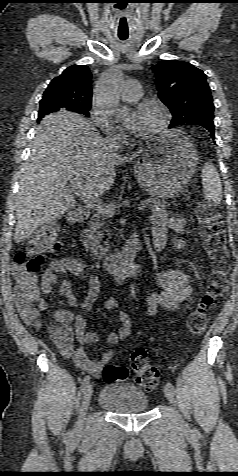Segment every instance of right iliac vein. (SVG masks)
<instances>
[{"mask_svg":"<svg viewBox=\"0 0 238 476\" xmlns=\"http://www.w3.org/2000/svg\"><path fill=\"white\" fill-rule=\"evenodd\" d=\"M92 393H93V387L92 385H88L84 391L82 403H81V408H80V413L78 420L76 422L75 428L73 430V436L78 437L82 433L83 427H84V420H85V415L86 411L90 405L91 398H92Z\"/></svg>","mask_w":238,"mask_h":476,"instance_id":"1","label":"right iliac vein"}]
</instances>
